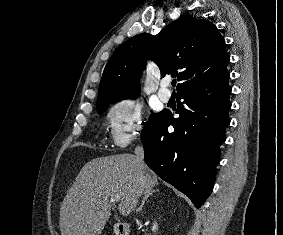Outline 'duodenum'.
Instances as JSON below:
<instances>
[{
    "mask_svg": "<svg viewBox=\"0 0 283 235\" xmlns=\"http://www.w3.org/2000/svg\"><path fill=\"white\" fill-rule=\"evenodd\" d=\"M115 235H129V226L124 222H117L114 225Z\"/></svg>",
    "mask_w": 283,
    "mask_h": 235,
    "instance_id": "duodenum-1",
    "label": "duodenum"
}]
</instances>
